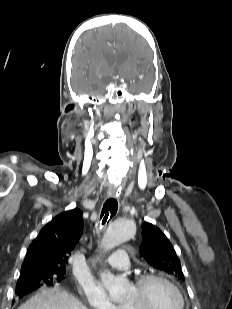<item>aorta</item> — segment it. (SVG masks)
Returning <instances> with one entry per match:
<instances>
[{"label":"aorta","mask_w":232,"mask_h":309,"mask_svg":"<svg viewBox=\"0 0 232 309\" xmlns=\"http://www.w3.org/2000/svg\"><path fill=\"white\" fill-rule=\"evenodd\" d=\"M134 233L135 225L132 221L127 219L113 221L102 238L103 250L106 252L118 247L129 240ZM101 280L112 301L118 302L125 298L129 289V282L125 278L116 277L109 271H105L101 274Z\"/></svg>","instance_id":"762f6f07"}]
</instances>
